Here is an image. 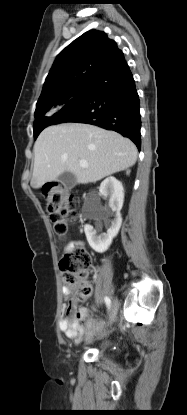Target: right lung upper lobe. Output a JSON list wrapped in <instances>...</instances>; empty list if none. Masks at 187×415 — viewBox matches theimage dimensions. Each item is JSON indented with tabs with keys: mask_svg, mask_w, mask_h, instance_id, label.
<instances>
[{
	"mask_svg": "<svg viewBox=\"0 0 187 415\" xmlns=\"http://www.w3.org/2000/svg\"><path fill=\"white\" fill-rule=\"evenodd\" d=\"M121 54L116 42L104 32L87 31L57 56L36 109L59 101L68 89L89 81Z\"/></svg>",
	"mask_w": 187,
	"mask_h": 415,
	"instance_id": "cb5924a9",
	"label": "right lung upper lobe"
}]
</instances>
